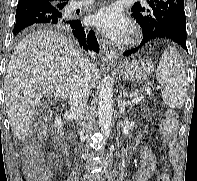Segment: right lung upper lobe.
<instances>
[{"instance_id":"1","label":"right lung upper lobe","mask_w":197,"mask_h":181,"mask_svg":"<svg viewBox=\"0 0 197 181\" xmlns=\"http://www.w3.org/2000/svg\"><path fill=\"white\" fill-rule=\"evenodd\" d=\"M46 1H49V2H51L53 4L68 2V0H46Z\"/></svg>"}]
</instances>
